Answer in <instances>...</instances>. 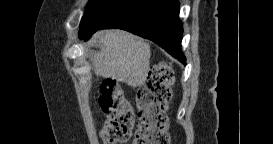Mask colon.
Returning <instances> with one entry per match:
<instances>
[{"mask_svg": "<svg viewBox=\"0 0 273 144\" xmlns=\"http://www.w3.org/2000/svg\"><path fill=\"white\" fill-rule=\"evenodd\" d=\"M173 72L168 64L151 69L136 93L138 122L136 144H169L166 110L171 100ZM99 104L105 115L101 137L107 144L125 143L132 133L134 113L119 83L105 80L99 92Z\"/></svg>", "mask_w": 273, "mask_h": 144, "instance_id": "1", "label": "colon"}]
</instances>
